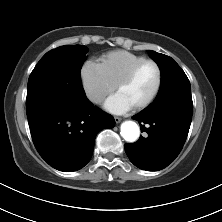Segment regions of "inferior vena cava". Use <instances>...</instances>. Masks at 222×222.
Instances as JSON below:
<instances>
[{
  "label": "inferior vena cava",
  "mask_w": 222,
  "mask_h": 222,
  "mask_svg": "<svg viewBox=\"0 0 222 222\" xmlns=\"http://www.w3.org/2000/svg\"><path fill=\"white\" fill-rule=\"evenodd\" d=\"M91 100L95 103H99L102 101V96H99V95H94L91 97Z\"/></svg>",
  "instance_id": "602c4592"
}]
</instances>
